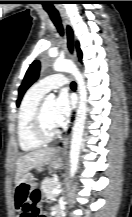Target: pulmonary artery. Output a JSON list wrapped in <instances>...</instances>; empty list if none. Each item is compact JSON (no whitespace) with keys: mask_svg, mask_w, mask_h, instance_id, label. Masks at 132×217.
Returning <instances> with one entry per match:
<instances>
[{"mask_svg":"<svg viewBox=\"0 0 132 217\" xmlns=\"http://www.w3.org/2000/svg\"><path fill=\"white\" fill-rule=\"evenodd\" d=\"M67 82V78L62 74H53L41 79L35 85L42 91L49 92L52 89H56L67 84Z\"/></svg>","mask_w":132,"mask_h":217,"instance_id":"obj_1","label":"pulmonary artery"}]
</instances>
